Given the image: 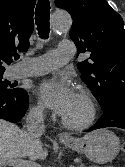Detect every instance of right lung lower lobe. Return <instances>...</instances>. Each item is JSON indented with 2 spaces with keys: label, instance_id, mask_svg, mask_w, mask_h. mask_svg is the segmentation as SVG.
Segmentation results:
<instances>
[{
  "label": "right lung lower lobe",
  "instance_id": "right-lung-lower-lobe-1",
  "mask_svg": "<svg viewBox=\"0 0 125 167\" xmlns=\"http://www.w3.org/2000/svg\"><path fill=\"white\" fill-rule=\"evenodd\" d=\"M28 94L20 89L17 95L0 90V118L12 123L20 121L28 109Z\"/></svg>",
  "mask_w": 125,
  "mask_h": 167
}]
</instances>
